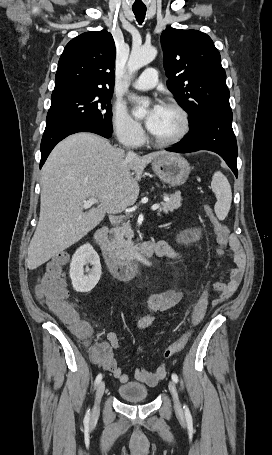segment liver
Returning a JSON list of instances; mask_svg holds the SVG:
<instances>
[{"instance_id": "liver-1", "label": "liver", "mask_w": 272, "mask_h": 455, "mask_svg": "<svg viewBox=\"0 0 272 455\" xmlns=\"http://www.w3.org/2000/svg\"><path fill=\"white\" fill-rule=\"evenodd\" d=\"M165 154L170 153L127 158L124 150L92 133L61 141L42 168L40 217L28 248L27 267L34 270L78 242L106 213L132 206L143 170ZM89 198H96L98 205L84 212Z\"/></svg>"}]
</instances>
